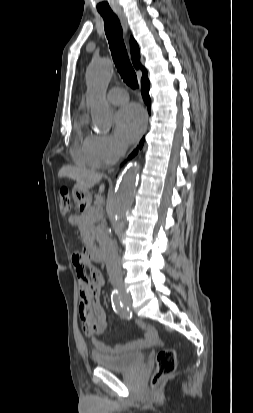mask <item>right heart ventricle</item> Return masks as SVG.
<instances>
[{
	"label": "right heart ventricle",
	"mask_w": 253,
	"mask_h": 413,
	"mask_svg": "<svg viewBox=\"0 0 253 413\" xmlns=\"http://www.w3.org/2000/svg\"><path fill=\"white\" fill-rule=\"evenodd\" d=\"M75 130L76 137L72 148L75 162L90 168H99L103 162L95 146L96 135L84 131V118L77 120Z\"/></svg>",
	"instance_id": "e07e8e85"
}]
</instances>
